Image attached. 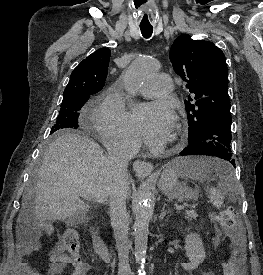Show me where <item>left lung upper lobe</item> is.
Masks as SVG:
<instances>
[{
  "label": "left lung upper lobe",
  "instance_id": "obj_1",
  "mask_svg": "<svg viewBox=\"0 0 263 275\" xmlns=\"http://www.w3.org/2000/svg\"><path fill=\"white\" fill-rule=\"evenodd\" d=\"M173 68L192 96L185 100L189 135H198L214 117L230 114L225 55L210 41L176 38L170 49Z\"/></svg>",
  "mask_w": 263,
  "mask_h": 275
}]
</instances>
